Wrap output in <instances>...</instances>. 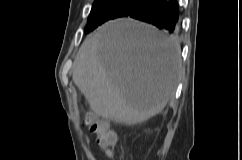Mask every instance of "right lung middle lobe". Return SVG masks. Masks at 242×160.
I'll list each match as a JSON object with an SVG mask.
<instances>
[{"label": "right lung middle lobe", "instance_id": "obj_1", "mask_svg": "<svg viewBox=\"0 0 242 160\" xmlns=\"http://www.w3.org/2000/svg\"><path fill=\"white\" fill-rule=\"evenodd\" d=\"M145 0H95L84 32L88 33L107 20L125 16Z\"/></svg>", "mask_w": 242, "mask_h": 160}]
</instances>
